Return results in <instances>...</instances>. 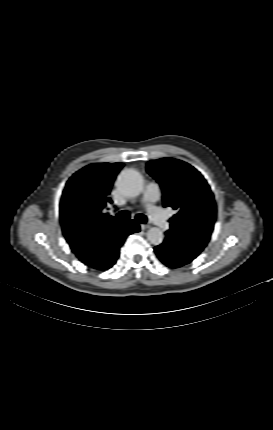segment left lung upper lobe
<instances>
[{
	"label": "left lung upper lobe",
	"instance_id": "left-lung-upper-lobe-1",
	"mask_svg": "<svg viewBox=\"0 0 273 430\" xmlns=\"http://www.w3.org/2000/svg\"><path fill=\"white\" fill-rule=\"evenodd\" d=\"M147 172L162 188L164 207L176 211L167 233L181 251L198 256L210 240L216 219L214 196L206 180L194 167L173 158L148 162Z\"/></svg>",
	"mask_w": 273,
	"mask_h": 430
}]
</instances>
